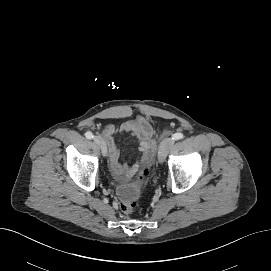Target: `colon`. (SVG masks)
Wrapping results in <instances>:
<instances>
[{
  "label": "colon",
  "instance_id": "obj_1",
  "mask_svg": "<svg viewBox=\"0 0 271 271\" xmlns=\"http://www.w3.org/2000/svg\"><path fill=\"white\" fill-rule=\"evenodd\" d=\"M148 175V170L145 169L142 172V177L147 176ZM136 208V203L134 201H125L123 203H121L120 205V209L122 211L123 214L125 215H131L134 213Z\"/></svg>",
  "mask_w": 271,
  "mask_h": 271
}]
</instances>
